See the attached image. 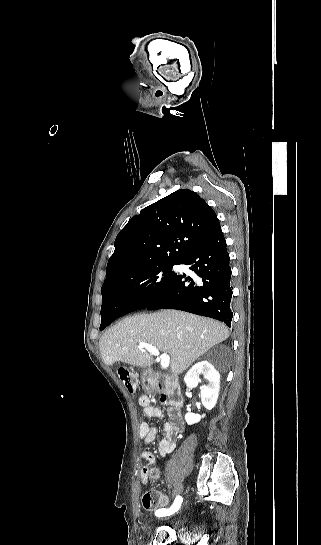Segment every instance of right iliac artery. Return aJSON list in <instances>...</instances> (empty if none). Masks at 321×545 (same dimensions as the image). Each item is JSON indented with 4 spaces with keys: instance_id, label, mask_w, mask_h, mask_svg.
<instances>
[{
    "instance_id": "obj_1",
    "label": "right iliac artery",
    "mask_w": 321,
    "mask_h": 545,
    "mask_svg": "<svg viewBox=\"0 0 321 545\" xmlns=\"http://www.w3.org/2000/svg\"><path fill=\"white\" fill-rule=\"evenodd\" d=\"M181 503H182V498L177 497L175 499V502L172 505V507H170L169 509H165V510H159V511L156 512V515L157 516L170 515V514L174 513L175 511H177L180 508Z\"/></svg>"
}]
</instances>
